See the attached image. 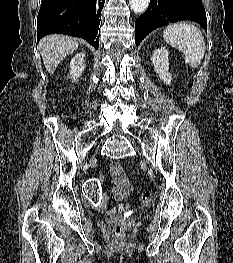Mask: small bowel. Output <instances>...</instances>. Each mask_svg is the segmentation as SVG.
Returning a JSON list of instances; mask_svg holds the SVG:
<instances>
[{
  "label": "small bowel",
  "mask_w": 233,
  "mask_h": 263,
  "mask_svg": "<svg viewBox=\"0 0 233 263\" xmlns=\"http://www.w3.org/2000/svg\"><path fill=\"white\" fill-rule=\"evenodd\" d=\"M110 174L112 178V194L114 198L117 201H123L127 199L132 191V186L126 176V173L118 162H113L110 165ZM102 181L103 179L100 178ZM102 199L99 202V205H97V209L100 212H104L106 210V205L108 202V196L103 193ZM128 209V204H121L116 208H113L109 211H107L108 215H114L118 211H124Z\"/></svg>",
  "instance_id": "obj_1"
}]
</instances>
